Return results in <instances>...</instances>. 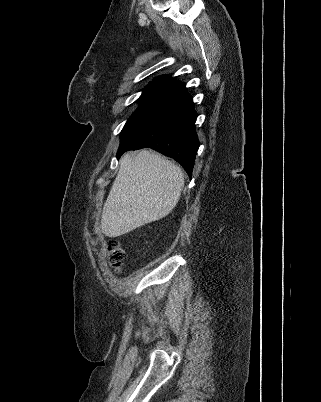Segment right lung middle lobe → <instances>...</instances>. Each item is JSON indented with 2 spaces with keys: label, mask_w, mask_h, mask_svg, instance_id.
<instances>
[{
  "label": "right lung middle lobe",
  "mask_w": 321,
  "mask_h": 402,
  "mask_svg": "<svg viewBox=\"0 0 321 402\" xmlns=\"http://www.w3.org/2000/svg\"><path fill=\"white\" fill-rule=\"evenodd\" d=\"M173 87L150 84L144 90L138 101L140 102L137 110L128 119L122 133L141 117L146 115L150 110L158 106L163 100H165L173 91Z\"/></svg>",
  "instance_id": "obj_1"
}]
</instances>
